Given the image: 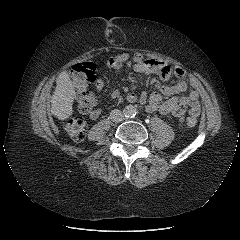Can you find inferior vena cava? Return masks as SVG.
<instances>
[{"instance_id": "602c4592", "label": "inferior vena cava", "mask_w": 240, "mask_h": 240, "mask_svg": "<svg viewBox=\"0 0 240 240\" xmlns=\"http://www.w3.org/2000/svg\"><path fill=\"white\" fill-rule=\"evenodd\" d=\"M110 119L115 123L122 122L124 120V113L118 109H114L110 113Z\"/></svg>"}]
</instances>
